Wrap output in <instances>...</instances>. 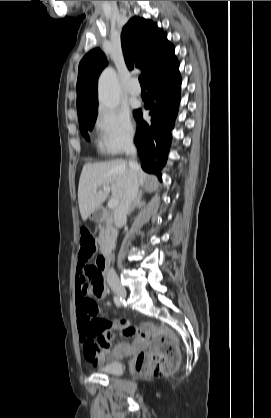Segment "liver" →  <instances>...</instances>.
<instances>
[{
  "label": "liver",
  "instance_id": "1",
  "mask_svg": "<svg viewBox=\"0 0 271 418\" xmlns=\"http://www.w3.org/2000/svg\"><path fill=\"white\" fill-rule=\"evenodd\" d=\"M136 172L138 183L142 185L148 175L139 165ZM128 174L129 164L124 160L88 163L83 166L78 187L79 209L83 221H86L108 197L107 192L98 189L110 186L113 199H122Z\"/></svg>",
  "mask_w": 271,
  "mask_h": 418
}]
</instances>
